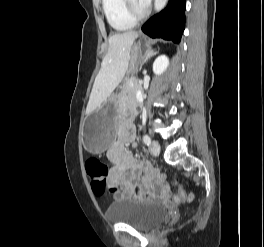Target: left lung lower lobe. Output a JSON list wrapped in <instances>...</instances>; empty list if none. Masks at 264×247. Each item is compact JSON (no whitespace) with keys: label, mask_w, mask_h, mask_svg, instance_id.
<instances>
[{"label":"left lung lower lobe","mask_w":264,"mask_h":247,"mask_svg":"<svg viewBox=\"0 0 264 247\" xmlns=\"http://www.w3.org/2000/svg\"><path fill=\"white\" fill-rule=\"evenodd\" d=\"M185 8L186 0H170L163 11L142 26V31L152 38L179 43L185 28Z\"/></svg>","instance_id":"left-lung-lower-lobe-1"}]
</instances>
